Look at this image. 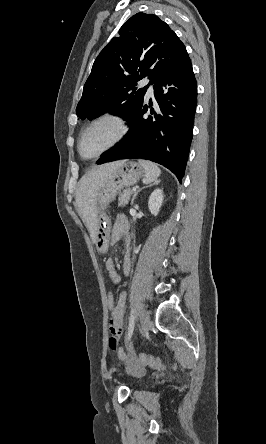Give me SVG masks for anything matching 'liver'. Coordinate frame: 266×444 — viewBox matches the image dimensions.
Returning a JSON list of instances; mask_svg holds the SVG:
<instances>
[{"label":"liver","instance_id":"1","mask_svg":"<svg viewBox=\"0 0 266 444\" xmlns=\"http://www.w3.org/2000/svg\"><path fill=\"white\" fill-rule=\"evenodd\" d=\"M124 161L98 166L87 172L79 181L76 203L93 242H96V197L101 186Z\"/></svg>","mask_w":266,"mask_h":444}]
</instances>
